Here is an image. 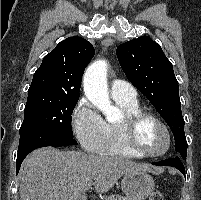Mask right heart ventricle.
Instances as JSON below:
<instances>
[{
    "instance_id": "obj_1",
    "label": "right heart ventricle",
    "mask_w": 201,
    "mask_h": 200,
    "mask_svg": "<svg viewBox=\"0 0 201 200\" xmlns=\"http://www.w3.org/2000/svg\"><path fill=\"white\" fill-rule=\"evenodd\" d=\"M116 104L120 107L124 115L132 114L140 111L138 101L126 100L120 98H113ZM101 154L121 156L129 158H137L135 153L128 149L124 143L123 133L121 128V121L119 122H106V135L104 148Z\"/></svg>"
}]
</instances>
